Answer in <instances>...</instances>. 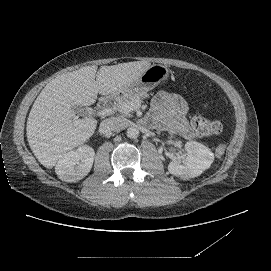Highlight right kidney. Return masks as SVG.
I'll list each match as a JSON object with an SVG mask.
<instances>
[{
	"label": "right kidney",
	"mask_w": 271,
	"mask_h": 271,
	"mask_svg": "<svg viewBox=\"0 0 271 271\" xmlns=\"http://www.w3.org/2000/svg\"><path fill=\"white\" fill-rule=\"evenodd\" d=\"M94 149L88 145L70 151L57 162L55 172L65 182H77L91 170L94 162Z\"/></svg>",
	"instance_id": "obj_1"
}]
</instances>
